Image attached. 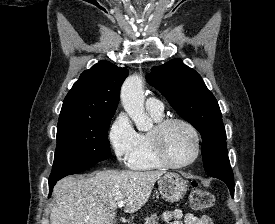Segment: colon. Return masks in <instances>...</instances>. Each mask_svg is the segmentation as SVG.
Wrapping results in <instances>:
<instances>
[{
    "label": "colon",
    "mask_w": 275,
    "mask_h": 224,
    "mask_svg": "<svg viewBox=\"0 0 275 224\" xmlns=\"http://www.w3.org/2000/svg\"><path fill=\"white\" fill-rule=\"evenodd\" d=\"M190 204L195 210H204L213 206L215 198L212 193L192 183L190 187Z\"/></svg>",
    "instance_id": "obj_1"
}]
</instances>
